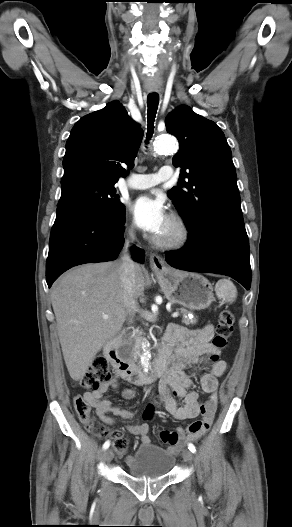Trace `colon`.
Instances as JSON below:
<instances>
[{"mask_svg": "<svg viewBox=\"0 0 292 527\" xmlns=\"http://www.w3.org/2000/svg\"><path fill=\"white\" fill-rule=\"evenodd\" d=\"M234 326V315L233 313L225 309L220 313L215 335L212 339V345L217 351L225 349L228 345V340L233 333ZM219 359L218 353L208 354L205 358L207 365L215 364ZM111 379L109 362L104 357L96 358L93 363L87 368L84 375L78 380V384L89 391L98 390L102 384L108 382ZM162 398L156 401L155 404H150L146 411L145 417L151 418L155 407L160 404ZM74 408L78 415V418L84 423L89 430H95L101 436L110 437L112 445L116 453L123 454L128 448V440L124 436L123 432L119 429L107 430L103 427H95L92 421L91 408L88 401L84 396L78 395L74 398Z\"/></svg>", "mask_w": 292, "mask_h": 527, "instance_id": "5ec220e1", "label": "colon"}]
</instances>
